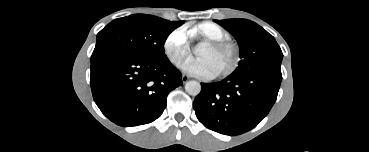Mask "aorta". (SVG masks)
<instances>
[{"label": "aorta", "instance_id": "1", "mask_svg": "<svg viewBox=\"0 0 369 152\" xmlns=\"http://www.w3.org/2000/svg\"><path fill=\"white\" fill-rule=\"evenodd\" d=\"M185 91L191 96H197L201 91L199 82L191 80L185 84Z\"/></svg>", "mask_w": 369, "mask_h": 152}]
</instances>
